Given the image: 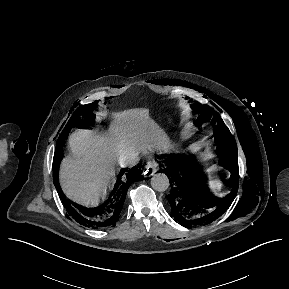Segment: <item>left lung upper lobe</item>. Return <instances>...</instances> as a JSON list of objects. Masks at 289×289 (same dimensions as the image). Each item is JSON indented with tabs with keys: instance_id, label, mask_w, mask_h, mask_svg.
Returning <instances> with one entry per match:
<instances>
[{
	"instance_id": "1",
	"label": "left lung upper lobe",
	"mask_w": 289,
	"mask_h": 289,
	"mask_svg": "<svg viewBox=\"0 0 289 289\" xmlns=\"http://www.w3.org/2000/svg\"><path fill=\"white\" fill-rule=\"evenodd\" d=\"M191 107L197 115V119L194 122L196 125L207 123L209 121L213 122V137L217 144L216 150L220 156L221 164L224 166L237 164L238 166V153L235 140L220 115L214 110H211L207 105L196 103L192 104Z\"/></svg>"
}]
</instances>
